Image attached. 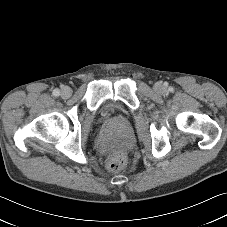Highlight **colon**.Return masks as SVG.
Here are the masks:
<instances>
[{"instance_id":"obj_1","label":"colon","mask_w":227,"mask_h":227,"mask_svg":"<svg viewBox=\"0 0 227 227\" xmlns=\"http://www.w3.org/2000/svg\"><path fill=\"white\" fill-rule=\"evenodd\" d=\"M125 162L126 156L124 151L120 147H115L109 155L107 169L112 173L118 172L124 167Z\"/></svg>"}]
</instances>
